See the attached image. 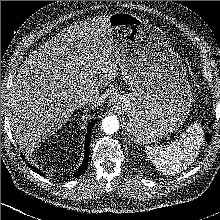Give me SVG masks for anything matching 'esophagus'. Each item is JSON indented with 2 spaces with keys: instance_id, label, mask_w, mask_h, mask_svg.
<instances>
[{
  "instance_id": "34e87169",
  "label": "esophagus",
  "mask_w": 220,
  "mask_h": 220,
  "mask_svg": "<svg viewBox=\"0 0 220 220\" xmlns=\"http://www.w3.org/2000/svg\"><path fill=\"white\" fill-rule=\"evenodd\" d=\"M111 101H114V102H116L115 98H114V99L112 98V100H111Z\"/></svg>"
}]
</instances>
